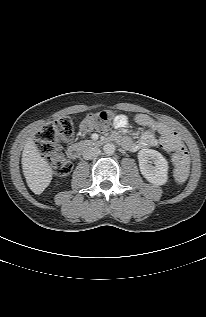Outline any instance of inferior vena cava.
I'll return each instance as SVG.
<instances>
[{
	"label": "inferior vena cava",
	"mask_w": 206,
	"mask_h": 317,
	"mask_svg": "<svg viewBox=\"0 0 206 317\" xmlns=\"http://www.w3.org/2000/svg\"><path fill=\"white\" fill-rule=\"evenodd\" d=\"M100 152H101L100 149L97 147L87 146L83 150L82 155L85 160H90V159H93L94 157H97L100 154Z\"/></svg>",
	"instance_id": "602c4592"
}]
</instances>
